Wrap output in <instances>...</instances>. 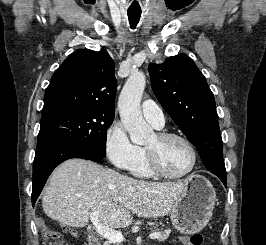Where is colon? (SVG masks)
<instances>
[{"mask_svg": "<svg viewBox=\"0 0 266 245\" xmlns=\"http://www.w3.org/2000/svg\"><path fill=\"white\" fill-rule=\"evenodd\" d=\"M42 231L47 245H68V243L63 239L60 234L54 232L48 227H43ZM203 243L204 237L201 233H193L188 238V245H203Z\"/></svg>", "mask_w": 266, "mask_h": 245, "instance_id": "obj_1", "label": "colon"}]
</instances>
